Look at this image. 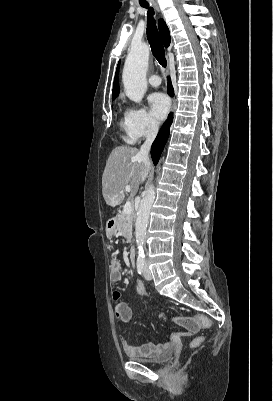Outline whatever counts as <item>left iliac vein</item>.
Listing matches in <instances>:
<instances>
[{
	"label": "left iliac vein",
	"mask_w": 273,
	"mask_h": 401,
	"mask_svg": "<svg viewBox=\"0 0 273 401\" xmlns=\"http://www.w3.org/2000/svg\"><path fill=\"white\" fill-rule=\"evenodd\" d=\"M144 277L146 280H151L152 279V274L148 268V264L145 262L144 264Z\"/></svg>",
	"instance_id": "1"
}]
</instances>
